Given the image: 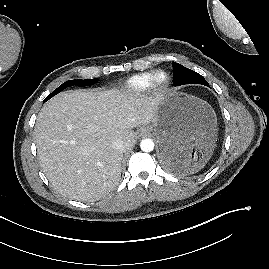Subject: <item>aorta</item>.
<instances>
[{"label": "aorta", "mask_w": 269, "mask_h": 269, "mask_svg": "<svg viewBox=\"0 0 269 269\" xmlns=\"http://www.w3.org/2000/svg\"><path fill=\"white\" fill-rule=\"evenodd\" d=\"M140 148L144 152H151L154 149V142L151 139H143L140 143Z\"/></svg>", "instance_id": "obj_1"}]
</instances>
